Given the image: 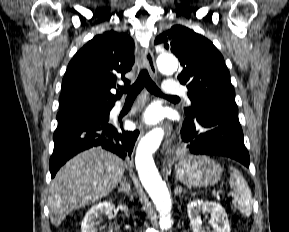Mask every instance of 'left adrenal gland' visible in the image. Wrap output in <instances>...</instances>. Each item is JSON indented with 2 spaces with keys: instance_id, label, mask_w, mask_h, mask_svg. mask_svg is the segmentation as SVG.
Returning <instances> with one entry per match:
<instances>
[{
  "instance_id": "1",
  "label": "left adrenal gland",
  "mask_w": 289,
  "mask_h": 232,
  "mask_svg": "<svg viewBox=\"0 0 289 232\" xmlns=\"http://www.w3.org/2000/svg\"><path fill=\"white\" fill-rule=\"evenodd\" d=\"M183 191L185 192V190H183L181 186H176L175 194L180 195Z\"/></svg>"
}]
</instances>
